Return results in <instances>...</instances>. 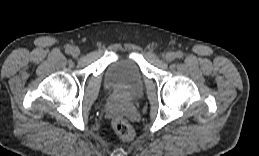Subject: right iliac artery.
Segmentation results:
<instances>
[{
	"label": "right iliac artery",
	"mask_w": 259,
	"mask_h": 156,
	"mask_svg": "<svg viewBox=\"0 0 259 156\" xmlns=\"http://www.w3.org/2000/svg\"><path fill=\"white\" fill-rule=\"evenodd\" d=\"M71 46L70 45H66V47H65V51L67 52V53H69L70 51H71Z\"/></svg>",
	"instance_id": "82829eb1"
}]
</instances>
